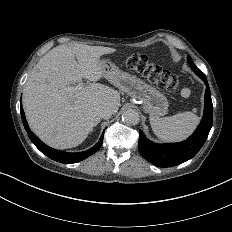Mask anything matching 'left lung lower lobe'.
Listing matches in <instances>:
<instances>
[{
  "mask_svg": "<svg viewBox=\"0 0 232 232\" xmlns=\"http://www.w3.org/2000/svg\"><path fill=\"white\" fill-rule=\"evenodd\" d=\"M206 84L203 118L195 132L185 141L156 144L148 140L140 131L139 151L142 156L158 167H172L193 158L205 143L212 127L213 104L205 75L199 76Z\"/></svg>",
  "mask_w": 232,
  "mask_h": 232,
  "instance_id": "1",
  "label": "left lung lower lobe"
}]
</instances>
